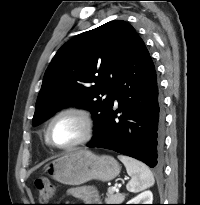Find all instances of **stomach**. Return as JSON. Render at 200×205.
<instances>
[{
  "label": "stomach",
  "mask_w": 200,
  "mask_h": 205,
  "mask_svg": "<svg viewBox=\"0 0 200 205\" xmlns=\"http://www.w3.org/2000/svg\"><path fill=\"white\" fill-rule=\"evenodd\" d=\"M45 171L62 184L81 185L92 179L110 181L118 176L120 166L111 156L77 150L48 163Z\"/></svg>",
  "instance_id": "obj_1"
}]
</instances>
